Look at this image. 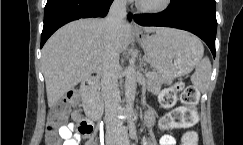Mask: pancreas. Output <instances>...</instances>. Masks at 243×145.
Instances as JSON below:
<instances>
[{"instance_id": "obj_1", "label": "pancreas", "mask_w": 243, "mask_h": 145, "mask_svg": "<svg viewBox=\"0 0 243 145\" xmlns=\"http://www.w3.org/2000/svg\"><path fill=\"white\" fill-rule=\"evenodd\" d=\"M165 82V79L159 73L154 72L152 76L148 77V86L150 88H159Z\"/></svg>"}]
</instances>
